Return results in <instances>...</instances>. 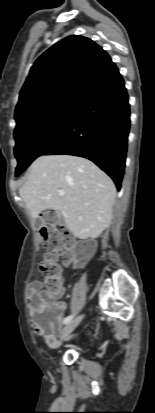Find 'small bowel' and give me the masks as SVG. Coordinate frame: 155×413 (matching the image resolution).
I'll return each mask as SVG.
<instances>
[{"label": "small bowel", "instance_id": "1", "mask_svg": "<svg viewBox=\"0 0 155 413\" xmlns=\"http://www.w3.org/2000/svg\"><path fill=\"white\" fill-rule=\"evenodd\" d=\"M45 296L46 302L43 306H38V296ZM27 304L30 308V314L32 317V325L35 333L44 339L46 345L50 348L58 347L64 338L63 324L65 319V310L67 305L65 302H53L50 294L44 290V286L40 281L32 282L28 287ZM54 310L53 316L45 323L42 324L39 320V313L41 309Z\"/></svg>", "mask_w": 155, "mask_h": 413}]
</instances>
